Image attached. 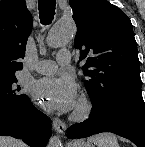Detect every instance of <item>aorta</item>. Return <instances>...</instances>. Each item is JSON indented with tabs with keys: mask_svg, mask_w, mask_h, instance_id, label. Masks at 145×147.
Masks as SVG:
<instances>
[{
	"mask_svg": "<svg viewBox=\"0 0 145 147\" xmlns=\"http://www.w3.org/2000/svg\"><path fill=\"white\" fill-rule=\"evenodd\" d=\"M76 30L75 23L70 20H62L56 23V25L50 31L47 43L51 47H59L68 43ZM48 147H63L59 137H52L48 143Z\"/></svg>",
	"mask_w": 145,
	"mask_h": 147,
	"instance_id": "obj_1",
	"label": "aorta"
}]
</instances>
